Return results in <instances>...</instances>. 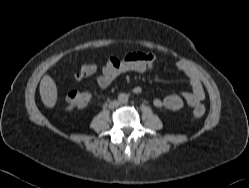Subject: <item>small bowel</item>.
Instances as JSON below:
<instances>
[{
  "mask_svg": "<svg viewBox=\"0 0 249 188\" xmlns=\"http://www.w3.org/2000/svg\"><path fill=\"white\" fill-rule=\"evenodd\" d=\"M157 58L153 54L143 52L128 53L123 59L110 58L102 67L97 78L98 86L107 88L119 75L126 72L146 73L156 65ZM177 68L183 72L191 86V90L178 94H170L164 98H155L153 105L169 111H178L185 105L197 106L205 97L204 88L196 72L183 62L177 63Z\"/></svg>",
  "mask_w": 249,
  "mask_h": 188,
  "instance_id": "obj_1",
  "label": "small bowel"
}]
</instances>
